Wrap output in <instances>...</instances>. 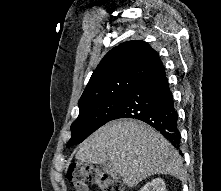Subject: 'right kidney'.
<instances>
[{"instance_id":"obj_1","label":"right kidney","mask_w":221,"mask_h":191,"mask_svg":"<svg viewBox=\"0 0 221 191\" xmlns=\"http://www.w3.org/2000/svg\"><path fill=\"white\" fill-rule=\"evenodd\" d=\"M139 191H167L163 179L156 178L145 184Z\"/></svg>"}]
</instances>
